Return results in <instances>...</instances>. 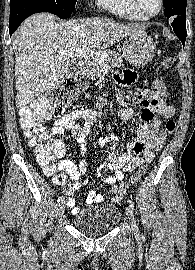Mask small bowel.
Instances as JSON below:
<instances>
[{"label": "small bowel", "instance_id": "small-bowel-1", "mask_svg": "<svg viewBox=\"0 0 195 270\" xmlns=\"http://www.w3.org/2000/svg\"><path fill=\"white\" fill-rule=\"evenodd\" d=\"M115 80L120 86H128L135 82L136 74L132 70H123L115 74ZM126 99L137 103L140 107L138 112L125 108L117 111L118 116L133 121L136 126V134L127 144L126 152L123 151L117 136L110 128L98 141L99 146H104L108 142L112 143L111 153L107 156L103 167L113 174L103 177L99 173L102 181L111 186L113 196L110 200L112 202H117L122 198L121 194L117 192L118 186L116 183L123 180L124 173L133 172L141 165L150 163L153 160L154 152L162 147L164 140L160 138V135L163 125L157 117L169 119L174 115V108L168 105L166 101L160 102L154 99L152 89L136 90ZM97 119L98 113L94 110L88 108L74 109L53 123L51 134L59 136L69 132L72 138L78 142L80 154L84 156L87 151V136ZM60 169L65 170L73 181V184L67 190L69 196L87 183V181H82V176L88 169L85 160L82 159L78 163L65 160L60 163ZM103 201L104 197L94 190H91L86 198L88 205ZM67 206L74 215L80 212V207L76 205V201L72 197L67 199Z\"/></svg>", "mask_w": 195, "mask_h": 270}]
</instances>
